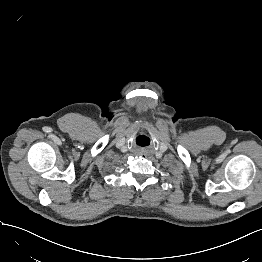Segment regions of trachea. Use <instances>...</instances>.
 Listing matches in <instances>:
<instances>
[{"label": "trachea", "mask_w": 262, "mask_h": 262, "mask_svg": "<svg viewBox=\"0 0 262 262\" xmlns=\"http://www.w3.org/2000/svg\"><path fill=\"white\" fill-rule=\"evenodd\" d=\"M137 144L139 146H146L147 144H149V138L145 135H140L138 138H137Z\"/></svg>", "instance_id": "obj_1"}]
</instances>
